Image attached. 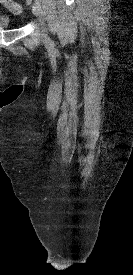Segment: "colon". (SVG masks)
<instances>
[{
	"label": "colon",
	"instance_id": "5ec220e1",
	"mask_svg": "<svg viewBox=\"0 0 133 275\" xmlns=\"http://www.w3.org/2000/svg\"><path fill=\"white\" fill-rule=\"evenodd\" d=\"M7 7L13 13H19L21 11V7L18 4H16L15 2H13V0L9 1Z\"/></svg>",
	"mask_w": 133,
	"mask_h": 275
}]
</instances>
